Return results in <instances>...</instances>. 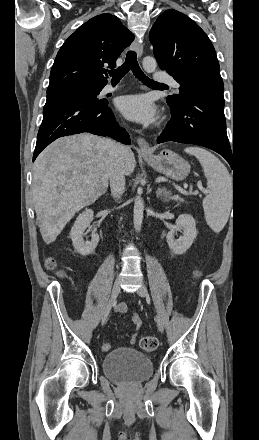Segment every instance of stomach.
<instances>
[{
	"label": "stomach",
	"instance_id": "1",
	"mask_svg": "<svg viewBox=\"0 0 259 440\" xmlns=\"http://www.w3.org/2000/svg\"><path fill=\"white\" fill-rule=\"evenodd\" d=\"M144 159L154 170L176 181L185 179L190 173V165L169 149L153 157L144 156Z\"/></svg>",
	"mask_w": 259,
	"mask_h": 440
}]
</instances>
